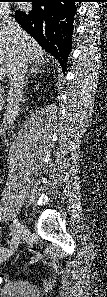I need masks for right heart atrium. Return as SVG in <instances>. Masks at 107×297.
I'll use <instances>...</instances> for the list:
<instances>
[{
  "mask_svg": "<svg viewBox=\"0 0 107 297\" xmlns=\"http://www.w3.org/2000/svg\"><path fill=\"white\" fill-rule=\"evenodd\" d=\"M0 12H1V14H5V13H6V9H5V8H2V9L0 10Z\"/></svg>",
  "mask_w": 107,
  "mask_h": 297,
  "instance_id": "obj_1",
  "label": "right heart atrium"
}]
</instances>
